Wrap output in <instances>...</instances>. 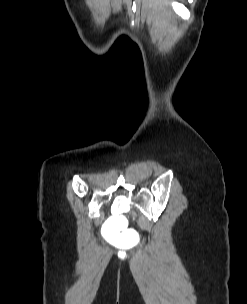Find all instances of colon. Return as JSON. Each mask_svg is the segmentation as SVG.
Masks as SVG:
<instances>
[{"label":"colon","mask_w":247,"mask_h":304,"mask_svg":"<svg viewBox=\"0 0 247 304\" xmlns=\"http://www.w3.org/2000/svg\"><path fill=\"white\" fill-rule=\"evenodd\" d=\"M109 219L105 221L101 240H112L113 244H121L124 248H139L142 239L135 225H129L128 214H110Z\"/></svg>","instance_id":"colon-1"}]
</instances>
